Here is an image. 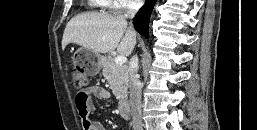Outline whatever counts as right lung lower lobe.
Wrapping results in <instances>:
<instances>
[{"label":"right lung lower lobe","mask_w":257,"mask_h":130,"mask_svg":"<svg viewBox=\"0 0 257 130\" xmlns=\"http://www.w3.org/2000/svg\"><path fill=\"white\" fill-rule=\"evenodd\" d=\"M155 3H156V0L147 1L146 4L139 10V12L137 13L133 21L136 30L140 34L146 37H149L148 35L149 19Z\"/></svg>","instance_id":"1"}]
</instances>
